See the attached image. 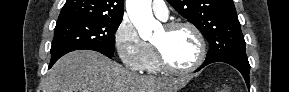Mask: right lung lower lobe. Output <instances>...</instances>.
<instances>
[{
    "label": "right lung lower lobe",
    "instance_id": "98d812e1",
    "mask_svg": "<svg viewBox=\"0 0 289 92\" xmlns=\"http://www.w3.org/2000/svg\"><path fill=\"white\" fill-rule=\"evenodd\" d=\"M109 58H111L112 56H107ZM57 60H51L50 64H49V68H51L53 66V64L56 62Z\"/></svg>",
    "mask_w": 289,
    "mask_h": 92
}]
</instances>
